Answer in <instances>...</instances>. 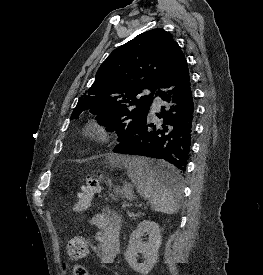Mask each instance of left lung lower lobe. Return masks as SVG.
<instances>
[{"instance_id": "1", "label": "left lung lower lobe", "mask_w": 263, "mask_h": 275, "mask_svg": "<svg viewBox=\"0 0 263 275\" xmlns=\"http://www.w3.org/2000/svg\"><path fill=\"white\" fill-rule=\"evenodd\" d=\"M158 89L156 96L169 103L157 114L163 122L156 128L148 123L146 116L135 132L120 141L113 152L167 161L168 166L154 165L151 174L173 187L187 168L195 119L189 70L181 49L174 53Z\"/></svg>"}]
</instances>
